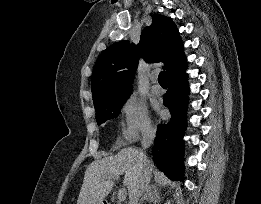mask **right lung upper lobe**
I'll list each match as a JSON object with an SVG mask.
<instances>
[{"label": "right lung upper lobe", "mask_w": 261, "mask_h": 204, "mask_svg": "<svg viewBox=\"0 0 261 204\" xmlns=\"http://www.w3.org/2000/svg\"><path fill=\"white\" fill-rule=\"evenodd\" d=\"M139 56L149 63L164 62L167 77L186 64L178 29L169 17L155 14L137 46L120 41L101 53L91 78L94 106L131 93Z\"/></svg>", "instance_id": "cb5924a9"}]
</instances>
